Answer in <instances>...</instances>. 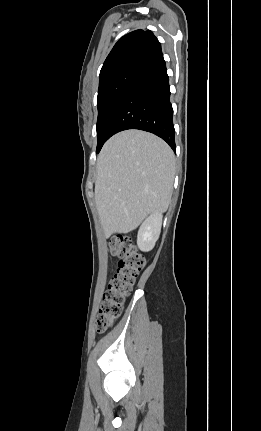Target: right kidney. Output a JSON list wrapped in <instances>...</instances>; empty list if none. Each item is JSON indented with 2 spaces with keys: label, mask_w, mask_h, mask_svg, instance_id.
I'll return each instance as SVG.
<instances>
[{
  "label": "right kidney",
  "mask_w": 261,
  "mask_h": 431,
  "mask_svg": "<svg viewBox=\"0 0 261 431\" xmlns=\"http://www.w3.org/2000/svg\"><path fill=\"white\" fill-rule=\"evenodd\" d=\"M162 217V213H153L140 226L137 245L141 251H150L155 246L161 232Z\"/></svg>",
  "instance_id": "ca27d5eb"
}]
</instances>
